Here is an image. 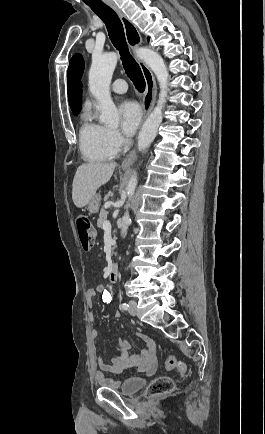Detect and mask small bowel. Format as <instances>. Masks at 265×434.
I'll use <instances>...</instances> for the list:
<instances>
[{"label":"small bowel","mask_w":265,"mask_h":434,"mask_svg":"<svg viewBox=\"0 0 265 434\" xmlns=\"http://www.w3.org/2000/svg\"><path fill=\"white\" fill-rule=\"evenodd\" d=\"M106 292L102 284L96 285L94 288H89L86 291L87 302L92 306L95 297L98 293L104 294ZM116 318H121V311L117 310ZM90 319L94 320L95 315L90 312ZM138 337L144 342L145 349L141 352L130 355L129 350L131 348V343L126 339H119L117 344V350L119 354L113 357L110 363L105 362L100 355L95 356V364L99 368L97 373L98 380L101 382L103 387H114L118 385V380L114 378H107L105 372L119 373L126 366L133 363H138L142 366L147 376H152L157 370V358H156V344L153 339L144 333H139ZM92 338L97 343L98 342V331H92Z\"/></svg>","instance_id":"small-bowel-1"}]
</instances>
